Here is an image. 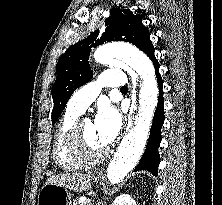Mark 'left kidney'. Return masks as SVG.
Listing matches in <instances>:
<instances>
[{"label": "left kidney", "mask_w": 222, "mask_h": 205, "mask_svg": "<svg viewBox=\"0 0 222 205\" xmlns=\"http://www.w3.org/2000/svg\"><path fill=\"white\" fill-rule=\"evenodd\" d=\"M112 205H136V201L129 194L118 196Z\"/></svg>", "instance_id": "5707ae66"}]
</instances>
